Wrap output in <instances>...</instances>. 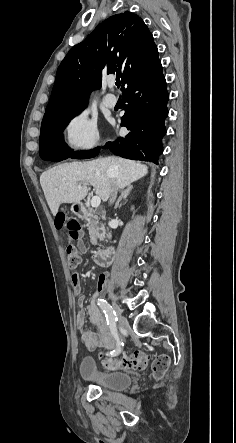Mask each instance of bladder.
Listing matches in <instances>:
<instances>
[{
  "instance_id": "obj_1",
  "label": "bladder",
  "mask_w": 236,
  "mask_h": 443,
  "mask_svg": "<svg viewBox=\"0 0 236 443\" xmlns=\"http://www.w3.org/2000/svg\"><path fill=\"white\" fill-rule=\"evenodd\" d=\"M80 374L84 381L110 390L123 391L132 385V379L128 374L99 370L91 358H84L81 361Z\"/></svg>"
}]
</instances>
